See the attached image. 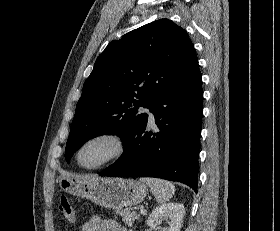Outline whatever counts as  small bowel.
I'll return each instance as SVG.
<instances>
[{
    "instance_id": "1",
    "label": "small bowel",
    "mask_w": 280,
    "mask_h": 231,
    "mask_svg": "<svg viewBox=\"0 0 280 231\" xmlns=\"http://www.w3.org/2000/svg\"><path fill=\"white\" fill-rule=\"evenodd\" d=\"M81 231H127V229L115 220L95 216L81 225Z\"/></svg>"
}]
</instances>
